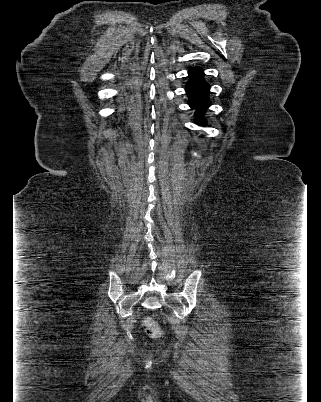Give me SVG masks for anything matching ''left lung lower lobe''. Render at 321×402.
<instances>
[{
    "instance_id": "0a47b994",
    "label": "left lung lower lobe",
    "mask_w": 321,
    "mask_h": 402,
    "mask_svg": "<svg viewBox=\"0 0 321 402\" xmlns=\"http://www.w3.org/2000/svg\"><path fill=\"white\" fill-rule=\"evenodd\" d=\"M203 70L199 67H194L189 70V81L185 91L189 97V106L195 109L196 120L200 125H206V120L203 119L207 107L210 106L209 100V84L203 78Z\"/></svg>"
}]
</instances>
